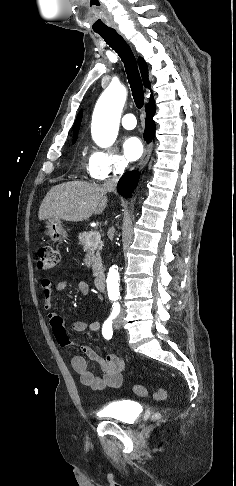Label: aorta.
<instances>
[{"label": "aorta", "instance_id": "aorta-1", "mask_svg": "<svg viewBox=\"0 0 236 486\" xmlns=\"http://www.w3.org/2000/svg\"><path fill=\"white\" fill-rule=\"evenodd\" d=\"M126 96L127 91L123 85L111 83L98 99L91 126L92 138L98 146L108 148L115 142ZM107 290L109 297L120 293L119 272L115 265L109 269Z\"/></svg>", "mask_w": 236, "mask_h": 486}]
</instances>
